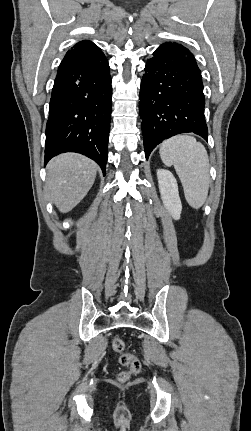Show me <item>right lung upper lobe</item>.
Masks as SVG:
<instances>
[{
	"mask_svg": "<svg viewBox=\"0 0 251 431\" xmlns=\"http://www.w3.org/2000/svg\"><path fill=\"white\" fill-rule=\"evenodd\" d=\"M88 45H94V44L90 41H81V42L77 43L73 48H81V47L88 46Z\"/></svg>",
	"mask_w": 251,
	"mask_h": 431,
	"instance_id": "1",
	"label": "right lung upper lobe"
}]
</instances>
